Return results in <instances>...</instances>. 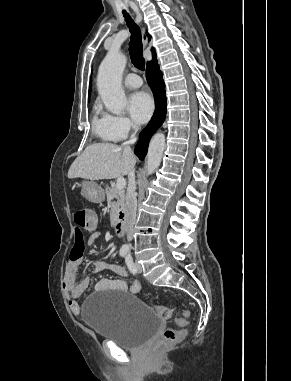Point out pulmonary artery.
<instances>
[{
	"instance_id": "obj_1",
	"label": "pulmonary artery",
	"mask_w": 291,
	"mask_h": 381,
	"mask_svg": "<svg viewBox=\"0 0 291 381\" xmlns=\"http://www.w3.org/2000/svg\"><path fill=\"white\" fill-rule=\"evenodd\" d=\"M124 83L128 88L136 89L142 85V79L137 74L130 73L125 77Z\"/></svg>"
}]
</instances>
